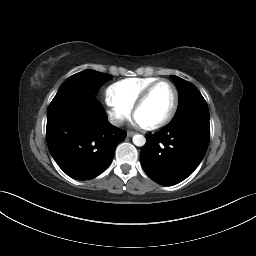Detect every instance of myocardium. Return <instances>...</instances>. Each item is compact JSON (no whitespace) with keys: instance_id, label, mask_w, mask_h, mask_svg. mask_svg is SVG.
Returning <instances> with one entry per match:
<instances>
[{"instance_id":"obj_1","label":"myocardium","mask_w":256,"mask_h":256,"mask_svg":"<svg viewBox=\"0 0 256 256\" xmlns=\"http://www.w3.org/2000/svg\"><path fill=\"white\" fill-rule=\"evenodd\" d=\"M162 83H167L168 85H170L173 89L174 92V100H173V104L169 110V112L167 113V115L159 120L156 123L150 124V125H143V127L147 130H156L159 129L163 126H165L166 124H168L172 118L174 117L177 108H178V104H179V91L176 87V85L168 80V79H159L157 81H155L154 83L150 84L148 87H146L144 89V91L140 94V96L137 98V100L135 101L133 107H132V112L133 115H136V112L138 111V109L147 101L148 97L150 96V94L152 93V91L160 84Z\"/></svg>"}]
</instances>
